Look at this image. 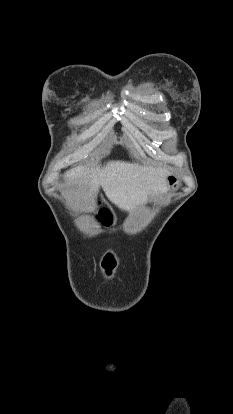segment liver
Masks as SVG:
<instances>
[{"label": "liver", "instance_id": "liver-1", "mask_svg": "<svg viewBox=\"0 0 233 414\" xmlns=\"http://www.w3.org/2000/svg\"><path fill=\"white\" fill-rule=\"evenodd\" d=\"M166 169L143 167L122 161H110L103 168L77 166L65 173L69 181L89 182L90 192L101 184L108 199L123 210L146 203L150 192H164L168 187Z\"/></svg>", "mask_w": 233, "mask_h": 414}]
</instances>
